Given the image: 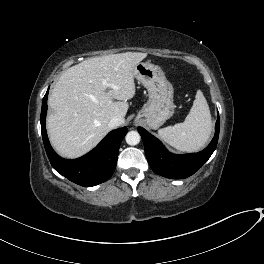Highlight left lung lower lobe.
<instances>
[{
    "label": "left lung lower lobe",
    "mask_w": 264,
    "mask_h": 264,
    "mask_svg": "<svg viewBox=\"0 0 264 264\" xmlns=\"http://www.w3.org/2000/svg\"><path fill=\"white\" fill-rule=\"evenodd\" d=\"M137 130L143 139L146 157L152 170L167 178L183 179L199 170L214 152L219 136V116L216 121L214 138L203 151L198 153L172 154L145 129L138 127Z\"/></svg>",
    "instance_id": "obj_1"
}]
</instances>
